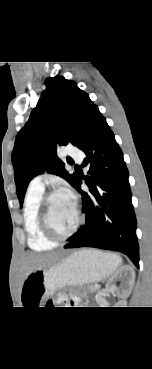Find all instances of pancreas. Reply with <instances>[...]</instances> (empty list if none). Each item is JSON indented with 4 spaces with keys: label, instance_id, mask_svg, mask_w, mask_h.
I'll use <instances>...</instances> for the list:
<instances>
[{
    "label": "pancreas",
    "instance_id": "pancreas-1",
    "mask_svg": "<svg viewBox=\"0 0 152 369\" xmlns=\"http://www.w3.org/2000/svg\"><path fill=\"white\" fill-rule=\"evenodd\" d=\"M93 288H94L93 285H88L87 287L84 288V291H85V293H87V292L92 293V292L95 291Z\"/></svg>",
    "mask_w": 152,
    "mask_h": 369
}]
</instances>
